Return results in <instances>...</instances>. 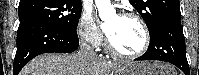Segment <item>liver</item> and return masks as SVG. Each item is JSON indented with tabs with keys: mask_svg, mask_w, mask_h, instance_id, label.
Masks as SVG:
<instances>
[{
	"mask_svg": "<svg viewBox=\"0 0 199 75\" xmlns=\"http://www.w3.org/2000/svg\"><path fill=\"white\" fill-rule=\"evenodd\" d=\"M169 68H164L167 73L171 70ZM115 70L113 64L78 51L73 54H42L31 60L20 75H113ZM171 73L175 75V72Z\"/></svg>",
	"mask_w": 199,
	"mask_h": 75,
	"instance_id": "1",
	"label": "liver"
}]
</instances>
